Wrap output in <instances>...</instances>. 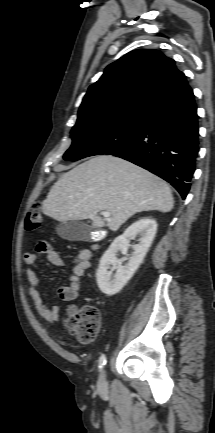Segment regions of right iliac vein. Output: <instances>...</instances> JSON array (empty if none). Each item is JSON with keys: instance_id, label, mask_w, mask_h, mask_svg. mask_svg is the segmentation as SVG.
Masks as SVG:
<instances>
[{"instance_id": "obj_1", "label": "right iliac vein", "mask_w": 215, "mask_h": 433, "mask_svg": "<svg viewBox=\"0 0 215 433\" xmlns=\"http://www.w3.org/2000/svg\"><path fill=\"white\" fill-rule=\"evenodd\" d=\"M105 383H106V371L103 370L101 372V375H100L99 380H98V386L99 387H104Z\"/></svg>"}]
</instances>
